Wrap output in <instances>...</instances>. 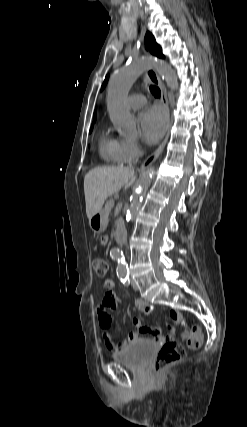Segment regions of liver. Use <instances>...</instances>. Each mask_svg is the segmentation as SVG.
Wrapping results in <instances>:
<instances>
[{"label": "liver", "instance_id": "6515ba94", "mask_svg": "<svg viewBox=\"0 0 247 427\" xmlns=\"http://www.w3.org/2000/svg\"><path fill=\"white\" fill-rule=\"evenodd\" d=\"M136 175L132 167H96L84 178V194L88 219L102 210L108 196L121 188H129Z\"/></svg>", "mask_w": 247, "mask_h": 427}]
</instances>
